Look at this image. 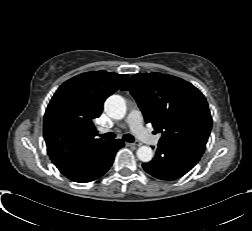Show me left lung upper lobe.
<instances>
[{
  "label": "left lung upper lobe",
  "mask_w": 252,
  "mask_h": 231,
  "mask_svg": "<svg viewBox=\"0 0 252 231\" xmlns=\"http://www.w3.org/2000/svg\"><path fill=\"white\" fill-rule=\"evenodd\" d=\"M136 99L160 141L195 140L206 145L212 118L204 95L191 83L167 74L139 73L122 87Z\"/></svg>",
  "instance_id": "1"
}]
</instances>
